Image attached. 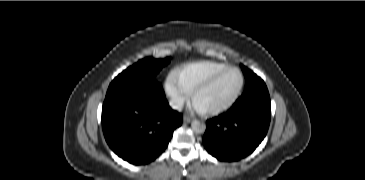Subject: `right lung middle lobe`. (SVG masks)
<instances>
[{
  "instance_id": "right-lung-middle-lobe-1",
  "label": "right lung middle lobe",
  "mask_w": 365,
  "mask_h": 180,
  "mask_svg": "<svg viewBox=\"0 0 365 180\" xmlns=\"http://www.w3.org/2000/svg\"><path fill=\"white\" fill-rule=\"evenodd\" d=\"M170 62V58L153 59L145 58L133 66L128 67L111 82L108 91L120 88L131 82L154 81V76L163 66Z\"/></svg>"
}]
</instances>
